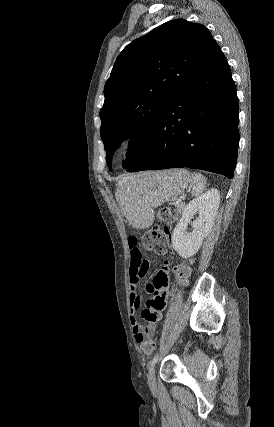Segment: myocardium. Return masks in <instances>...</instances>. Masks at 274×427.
<instances>
[{
	"label": "myocardium",
	"mask_w": 274,
	"mask_h": 427,
	"mask_svg": "<svg viewBox=\"0 0 274 427\" xmlns=\"http://www.w3.org/2000/svg\"><path fill=\"white\" fill-rule=\"evenodd\" d=\"M137 136L131 132L119 135L111 148V154L114 159L122 161L128 158L135 148Z\"/></svg>",
	"instance_id": "f54148a6"
}]
</instances>
